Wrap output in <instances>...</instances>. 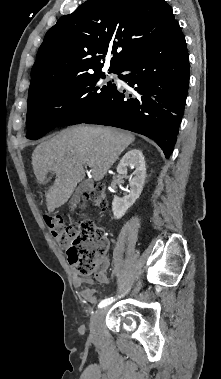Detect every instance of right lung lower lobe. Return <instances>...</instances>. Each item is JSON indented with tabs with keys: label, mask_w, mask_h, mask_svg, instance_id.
Returning a JSON list of instances; mask_svg holds the SVG:
<instances>
[{
	"label": "right lung lower lobe",
	"mask_w": 221,
	"mask_h": 379,
	"mask_svg": "<svg viewBox=\"0 0 221 379\" xmlns=\"http://www.w3.org/2000/svg\"><path fill=\"white\" fill-rule=\"evenodd\" d=\"M189 59L178 26L156 43L124 60L116 69L130 89L114 85L109 96L87 116L71 124L89 123L127 129L153 139L169 158L184 113Z\"/></svg>",
	"instance_id": "1"
}]
</instances>
